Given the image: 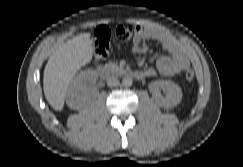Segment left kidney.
<instances>
[{
	"label": "left kidney",
	"instance_id": "1",
	"mask_svg": "<svg viewBox=\"0 0 243 167\" xmlns=\"http://www.w3.org/2000/svg\"><path fill=\"white\" fill-rule=\"evenodd\" d=\"M165 92V97L160 90ZM149 91L152 93L155 102L166 109L177 106L182 100L181 88L172 81L157 80L149 84Z\"/></svg>",
	"mask_w": 243,
	"mask_h": 167
}]
</instances>
